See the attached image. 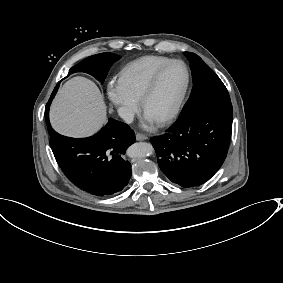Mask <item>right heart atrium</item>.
Returning <instances> with one entry per match:
<instances>
[{
    "label": "right heart atrium",
    "mask_w": 283,
    "mask_h": 283,
    "mask_svg": "<svg viewBox=\"0 0 283 283\" xmlns=\"http://www.w3.org/2000/svg\"><path fill=\"white\" fill-rule=\"evenodd\" d=\"M107 96L124 120H129L138 108V102L125 91L119 79H111L106 86Z\"/></svg>",
    "instance_id": "right-heart-atrium-1"
}]
</instances>
